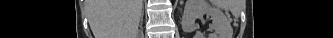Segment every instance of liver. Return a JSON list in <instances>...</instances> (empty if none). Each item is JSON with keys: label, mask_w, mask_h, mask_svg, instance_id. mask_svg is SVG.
<instances>
[{"label": "liver", "mask_w": 333, "mask_h": 38, "mask_svg": "<svg viewBox=\"0 0 333 38\" xmlns=\"http://www.w3.org/2000/svg\"><path fill=\"white\" fill-rule=\"evenodd\" d=\"M143 0H88L87 12L95 38H136Z\"/></svg>", "instance_id": "obj_1"}]
</instances>
